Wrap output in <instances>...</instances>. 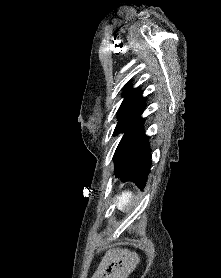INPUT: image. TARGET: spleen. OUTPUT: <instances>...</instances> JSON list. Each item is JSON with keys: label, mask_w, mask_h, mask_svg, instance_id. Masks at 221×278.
Here are the masks:
<instances>
[{"label": "spleen", "mask_w": 221, "mask_h": 278, "mask_svg": "<svg viewBox=\"0 0 221 278\" xmlns=\"http://www.w3.org/2000/svg\"><path fill=\"white\" fill-rule=\"evenodd\" d=\"M131 199H132V192H130V191L122 192V195L117 197V200H118L117 208H118V210L123 211L124 208L130 203Z\"/></svg>", "instance_id": "obj_1"}]
</instances>
